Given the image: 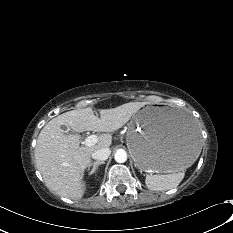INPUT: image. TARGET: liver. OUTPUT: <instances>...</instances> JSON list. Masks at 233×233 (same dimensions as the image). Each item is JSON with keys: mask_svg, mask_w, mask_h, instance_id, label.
<instances>
[{"mask_svg": "<svg viewBox=\"0 0 233 233\" xmlns=\"http://www.w3.org/2000/svg\"><path fill=\"white\" fill-rule=\"evenodd\" d=\"M146 102H129L116 108L100 110V118L92 108L65 112L50 120L41 130L35 148V164L47 188L54 194L80 199L85 193L83 176L91 166V155L112 143L110 132L124 126ZM61 125L75 132H105L91 147L81 146L78 135H66Z\"/></svg>", "mask_w": 233, "mask_h": 233, "instance_id": "obj_1", "label": "liver"}]
</instances>
